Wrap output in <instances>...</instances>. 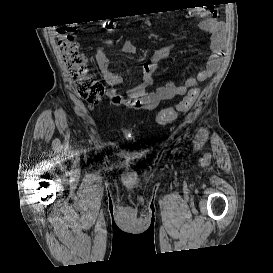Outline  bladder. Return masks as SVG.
Here are the masks:
<instances>
[{"mask_svg":"<svg viewBox=\"0 0 273 273\" xmlns=\"http://www.w3.org/2000/svg\"><path fill=\"white\" fill-rule=\"evenodd\" d=\"M124 131H125V133H130L131 129H125Z\"/></svg>","mask_w":273,"mask_h":273,"instance_id":"1","label":"bladder"}]
</instances>
